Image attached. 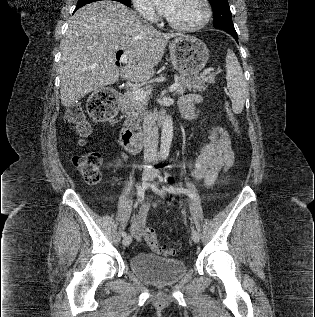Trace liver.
Returning <instances> with one entry per match:
<instances>
[{
	"mask_svg": "<svg viewBox=\"0 0 315 317\" xmlns=\"http://www.w3.org/2000/svg\"><path fill=\"white\" fill-rule=\"evenodd\" d=\"M183 35L157 31L116 1L80 8L61 42V104L69 107L88 93L115 83L119 76L132 81L150 79L168 41ZM119 50L128 58L120 70L115 64Z\"/></svg>",
	"mask_w": 315,
	"mask_h": 317,
	"instance_id": "6515ba94",
	"label": "liver"
}]
</instances>
